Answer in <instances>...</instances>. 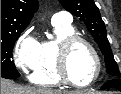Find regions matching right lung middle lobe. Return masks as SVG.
<instances>
[{
    "mask_svg": "<svg viewBox=\"0 0 121 94\" xmlns=\"http://www.w3.org/2000/svg\"><path fill=\"white\" fill-rule=\"evenodd\" d=\"M24 30L1 33V77L15 79L20 76L11 61L14 44Z\"/></svg>",
    "mask_w": 121,
    "mask_h": 94,
    "instance_id": "right-lung-middle-lobe-1",
    "label": "right lung middle lobe"
}]
</instances>
